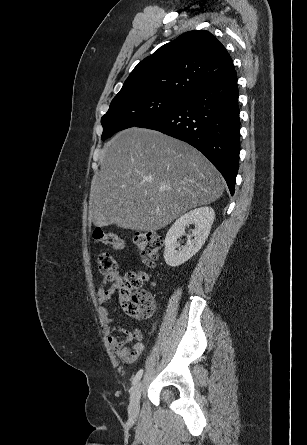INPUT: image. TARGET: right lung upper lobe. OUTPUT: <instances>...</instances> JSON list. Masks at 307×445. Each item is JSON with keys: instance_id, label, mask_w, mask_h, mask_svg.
Here are the masks:
<instances>
[{"instance_id": "right-lung-upper-lobe-1", "label": "right lung upper lobe", "mask_w": 307, "mask_h": 445, "mask_svg": "<svg viewBox=\"0 0 307 445\" xmlns=\"http://www.w3.org/2000/svg\"><path fill=\"white\" fill-rule=\"evenodd\" d=\"M234 71L230 55L210 32H186L136 65L117 95L184 96Z\"/></svg>"}]
</instances>
